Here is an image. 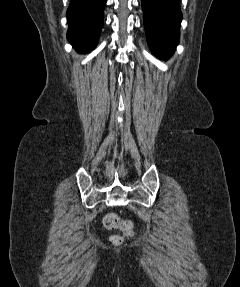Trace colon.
<instances>
[{
	"instance_id": "colon-1",
	"label": "colon",
	"mask_w": 240,
	"mask_h": 287,
	"mask_svg": "<svg viewBox=\"0 0 240 287\" xmlns=\"http://www.w3.org/2000/svg\"><path fill=\"white\" fill-rule=\"evenodd\" d=\"M104 225L108 229H121L125 234L129 235L132 232V224L129 221H122L116 214L109 213L104 218ZM121 238L117 237L116 241Z\"/></svg>"
}]
</instances>
